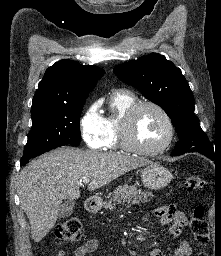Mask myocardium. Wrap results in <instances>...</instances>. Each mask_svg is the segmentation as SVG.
<instances>
[{
    "label": "myocardium",
    "mask_w": 221,
    "mask_h": 256,
    "mask_svg": "<svg viewBox=\"0 0 221 256\" xmlns=\"http://www.w3.org/2000/svg\"><path fill=\"white\" fill-rule=\"evenodd\" d=\"M151 107L157 110L164 118L167 126V135L164 141L155 148H146L139 145L134 137L135 120L139 112L146 108ZM175 135V127L173 120L167 110L160 104L154 101H140L132 105L125 113L120 127V142L122 147L132 153L154 156L163 153L172 143Z\"/></svg>",
    "instance_id": "myocardium-1"
}]
</instances>
